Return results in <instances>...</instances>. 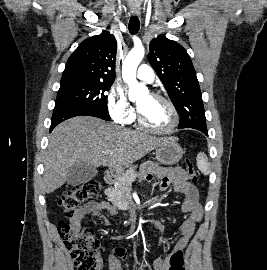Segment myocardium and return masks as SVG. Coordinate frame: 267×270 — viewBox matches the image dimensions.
Returning a JSON list of instances; mask_svg holds the SVG:
<instances>
[{"mask_svg": "<svg viewBox=\"0 0 267 270\" xmlns=\"http://www.w3.org/2000/svg\"><path fill=\"white\" fill-rule=\"evenodd\" d=\"M151 96L155 99H158V100L164 102L168 106L170 113H171V116H172L171 123L168 127L163 128V129L153 128L144 122L140 112H138V115H137L138 126L141 129H143L149 133H153V134L165 135V134L172 133L176 129V127L178 126V123H179V114H178V111H177L174 103L169 98H167L166 96L159 94V93H154Z\"/></svg>", "mask_w": 267, "mask_h": 270, "instance_id": "1", "label": "myocardium"}]
</instances>
